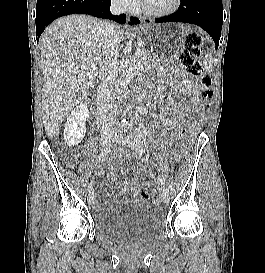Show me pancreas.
Masks as SVG:
<instances>
[{
    "instance_id": "cf45deb5",
    "label": "pancreas",
    "mask_w": 265,
    "mask_h": 273,
    "mask_svg": "<svg viewBox=\"0 0 265 273\" xmlns=\"http://www.w3.org/2000/svg\"><path fill=\"white\" fill-rule=\"evenodd\" d=\"M137 52L142 54L140 61L145 65L150 63L151 61L156 60V58L148 54L144 48H139Z\"/></svg>"
}]
</instances>
